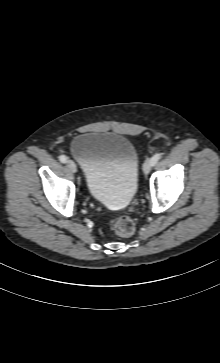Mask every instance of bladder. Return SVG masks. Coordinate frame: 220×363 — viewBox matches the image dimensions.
Segmentation results:
<instances>
[{
    "label": "bladder",
    "instance_id": "1",
    "mask_svg": "<svg viewBox=\"0 0 220 363\" xmlns=\"http://www.w3.org/2000/svg\"><path fill=\"white\" fill-rule=\"evenodd\" d=\"M90 196L112 208H125L138 186L139 156L135 145L118 133L87 132L71 142Z\"/></svg>",
    "mask_w": 220,
    "mask_h": 363
}]
</instances>
